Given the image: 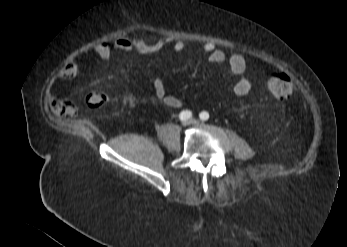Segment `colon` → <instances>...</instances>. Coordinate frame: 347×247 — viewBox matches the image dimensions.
I'll return each mask as SVG.
<instances>
[{"label":"colon","mask_w":347,"mask_h":247,"mask_svg":"<svg viewBox=\"0 0 347 247\" xmlns=\"http://www.w3.org/2000/svg\"><path fill=\"white\" fill-rule=\"evenodd\" d=\"M268 88L274 97L285 99L292 93L293 85L286 73L275 72L268 79ZM106 101L107 97L99 91H94L87 97V102L92 108H100L106 103Z\"/></svg>","instance_id":"5ec220e1"}]
</instances>
